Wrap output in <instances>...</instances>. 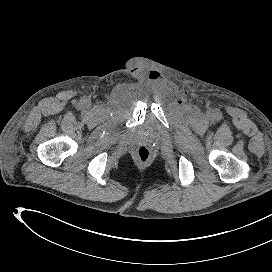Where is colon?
<instances>
[{"label":"colon","mask_w":272,"mask_h":272,"mask_svg":"<svg viewBox=\"0 0 272 272\" xmlns=\"http://www.w3.org/2000/svg\"><path fill=\"white\" fill-rule=\"evenodd\" d=\"M135 157L140 163H147L151 158V151L145 146H140L135 151Z\"/></svg>","instance_id":"5ec220e1"}]
</instances>
